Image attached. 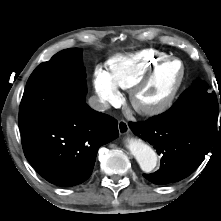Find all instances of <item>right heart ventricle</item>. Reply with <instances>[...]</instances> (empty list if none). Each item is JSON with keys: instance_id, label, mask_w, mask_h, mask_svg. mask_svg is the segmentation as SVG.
<instances>
[{"instance_id": "e07e8e85", "label": "right heart ventricle", "mask_w": 221, "mask_h": 221, "mask_svg": "<svg viewBox=\"0 0 221 221\" xmlns=\"http://www.w3.org/2000/svg\"><path fill=\"white\" fill-rule=\"evenodd\" d=\"M167 57L168 54L156 49L116 55L107 61L108 73L118 87L129 89L155 63Z\"/></svg>"}]
</instances>
